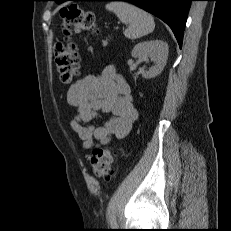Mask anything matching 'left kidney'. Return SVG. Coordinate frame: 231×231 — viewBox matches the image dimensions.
Returning <instances> with one entry per match:
<instances>
[{"mask_svg":"<svg viewBox=\"0 0 231 231\" xmlns=\"http://www.w3.org/2000/svg\"><path fill=\"white\" fill-rule=\"evenodd\" d=\"M168 44L162 40H152L138 43L133 48L131 55L134 58H150L155 65L143 72L146 79L160 74L166 65L168 58Z\"/></svg>","mask_w":231,"mask_h":231,"instance_id":"5707ae66","label":"left kidney"}]
</instances>
